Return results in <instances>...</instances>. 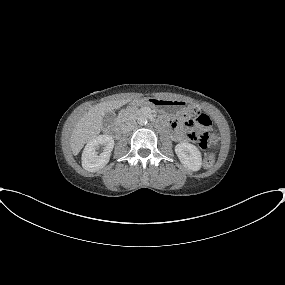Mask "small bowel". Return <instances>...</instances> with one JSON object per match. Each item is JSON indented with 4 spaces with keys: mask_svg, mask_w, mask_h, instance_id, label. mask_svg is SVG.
Wrapping results in <instances>:
<instances>
[{
    "mask_svg": "<svg viewBox=\"0 0 285 285\" xmlns=\"http://www.w3.org/2000/svg\"><path fill=\"white\" fill-rule=\"evenodd\" d=\"M172 127H174V130H173V133H172V136L174 138V140L176 141H181L184 139V133L183 131L180 129V128H177V123H173L172 124Z\"/></svg>",
    "mask_w": 285,
    "mask_h": 285,
    "instance_id": "c3829d8e",
    "label": "small bowel"
}]
</instances>
